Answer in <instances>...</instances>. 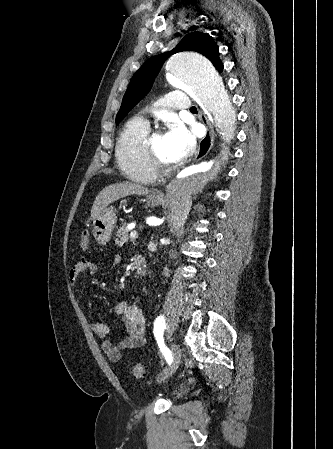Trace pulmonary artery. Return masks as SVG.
<instances>
[{
  "label": "pulmonary artery",
  "instance_id": "e3ab8cb5",
  "mask_svg": "<svg viewBox=\"0 0 333 449\" xmlns=\"http://www.w3.org/2000/svg\"><path fill=\"white\" fill-rule=\"evenodd\" d=\"M164 102L166 106L172 109L190 110L191 102L187 93L183 90H174L165 96Z\"/></svg>",
  "mask_w": 333,
  "mask_h": 449
}]
</instances>
